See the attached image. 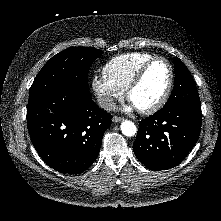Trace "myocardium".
<instances>
[{
    "label": "myocardium",
    "instance_id": "1",
    "mask_svg": "<svg viewBox=\"0 0 221 221\" xmlns=\"http://www.w3.org/2000/svg\"><path fill=\"white\" fill-rule=\"evenodd\" d=\"M155 61H162L166 64L168 68V81L165 87V90L161 97L156 101L153 105L145 108H137L138 111L142 114H152L161 109L164 104L167 102L169 95L171 93L173 82H174V71L171 63L162 56H153L149 60H147L145 63L142 64V66L137 70L131 81L129 82L127 88H126V96L129 101H131V94L133 90L140 84L142 81L147 69L150 67L152 63Z\"/></svg>",
    "mask_w": 221,
    "mask_h": 221
}]
</instances>
